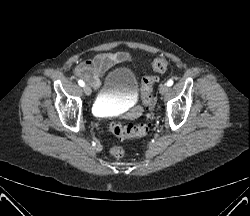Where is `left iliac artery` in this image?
<instances>
[{
    "label": "left iliac artery",
    "mask_w": 250,
    "mask_h": 216,
    "mask_svg": "<svg viewBox=\"0 0 250 216\" xmlns=\"http://www.w3.org/2000/svg\"><path fill=\"white\" fill-rule=\"evenodd\" d=\"M173 85V80L170 79L168 82H167V86H172Z\"/></svg>",
    "instance_id": "1"
}]
</instances>
